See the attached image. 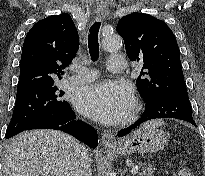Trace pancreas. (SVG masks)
Masks as SVG:
<instances>
[{"mask_svg":"<svg viewBox=\"0 0 205 176\" xmlns=\"http://www.w3.org/2000/svg\"><path fill=\"white\" fill-rule=\"evenodd\" d=\"M154 171H155V169L152 167V165H148L146 167H143L139 176H153Z\"/></svg>","mask_w":205,"mask_h":176,"instance_id":"obj_1","label":"pancreas"}]
</instances>
